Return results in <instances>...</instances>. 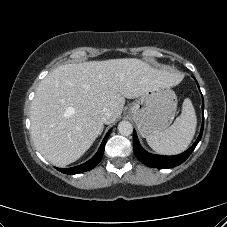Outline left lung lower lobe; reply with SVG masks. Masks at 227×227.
<instances>
[{
    "label": "left lung lower lobe",
    "instance_id": "obj_1",
    "mask_svg": "<svg viewBox=\"0 0 227 227\" xmlns=\"http://www.w3.org/2000/svg\"><path fill=\"white\" fill-rule=\"evenodd\" d=\"M198 85V83H197ZM199 87V85H198ZM200 89V88H199ZM203 100V98H202ZM202 110H204V100L202 104ZM203 128H204V121L201 126V132L195 141V143L185 152L175 155V156H162V155H155L148 153L146 150H144L137 138V134L134 130V135H133V148L136 156L138 159L145 164L146 166L153 167V168H158V169H164V168H172L177 165H180L183 163L189 156L190 154L194 151L196 145L201 139L202 133H203Z\"/></svg>",
    "mask_w": 227,
    "mask_h": 227
}]
</instances>
